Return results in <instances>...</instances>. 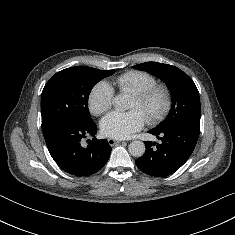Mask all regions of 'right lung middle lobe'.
Instances as JSON below:
<instances>
[{"label": "right lung middle lobe", "instance_id": "dd1d6c3e", "mask_svg": "<svg viewBox=\"0 0 235 235\" xmlns=\"http://www.w3.org/2000/svg\"><path fill=\"white\" fill-rule=\"evenodd\" d=\"M114 70L77 66L57 72L41 94L42 131L44 137L63 124L93 123L88 97L94 85L112 75Z\"/></svg>", "mask_w": 235, "mask_h": 235}]
</instances>
